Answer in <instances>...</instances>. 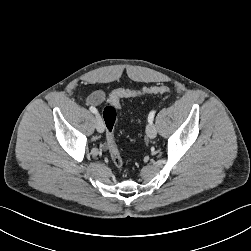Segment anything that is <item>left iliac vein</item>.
Wrapping results in <instances>:
<instances>
[{
    "instance_id": "obj_1",
    "label": "left iliac vein",
    "mask_w": 251,
    "mask_h": 251,
    "mask_svg": "<svg viewBox=\"0 0 251 251\" xmlns=\"http://www.w3.org/2000/svg\"><path fill=\"white\" fill-rule=\"evenodd\" d=\"M146 134L149 138L153 139L156 137L157 135V129L155 127V125L152 123V124H148L147 127H146Z\"/></svg>"
}]
</instances>
